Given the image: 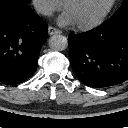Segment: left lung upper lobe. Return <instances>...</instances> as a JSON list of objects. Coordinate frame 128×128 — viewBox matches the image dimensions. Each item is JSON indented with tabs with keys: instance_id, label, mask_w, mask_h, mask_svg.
<instances>
[{
	"instance_id": "1",
	"label": "left lung upper lobe",
	"mask_w": 128,
	"mask_h": 128,
	"mask_svg": "<svg viewBox=\"0 0 128 128\" xmlns=\"http://www.w3.org/2000/svg\"><path fill=\"white\" fill-rule=\"evenodd\" d=\"M124 11H128V0H124L123 3L121 4V7L116 11V14H120Z\"/></svg>"
}]
</instances>
